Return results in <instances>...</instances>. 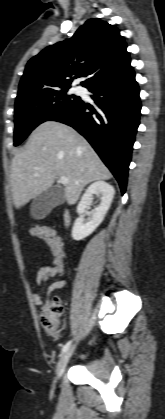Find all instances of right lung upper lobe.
<instances>
[{"label": "right lung upper lobe", "mask_w": 165, "mask_h": 419, "mask_svg": "<svg viewBox=\"0 0 165 419\" xmlns=\"http://www.w3.org/2000/svg\"><path fill=\"white\" fill-rule=\"evenodd\" d=\"M126 48L116 27L90 19L70 39L48 46L27 63L16 101L42 91L70 88L81 74L88 77L81 83L88 88L130 62Z\"/></svg>", "instance_id": "right-lung-upper-lobe-1"}]
</instances>
